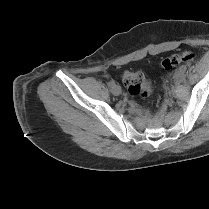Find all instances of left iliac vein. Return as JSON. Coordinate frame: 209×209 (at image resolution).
<instances>
[{
  "label": "left iliac vein",
  "instance_id": "4c4485c4",
  "mask_svg": "<svg viewBox=\"0 0 209 209\" xmlns=\"http://www.w3.org/2000/svg\"><path fill=\"white\" fill-rule=\"evenodd\" d=\"M173 78H174L176 81H179V80L182 78V74L178 71V72H176V73L173 75Z\"/></svg>",
  "mask_w": 209,
  "mask_h": 209
}]
</instances>
